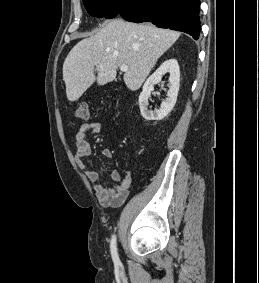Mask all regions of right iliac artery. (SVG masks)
Returning a JSON list of instances; mask_svg holds the SVG:
<instances>
[{
	"mask_svg": "<svg viewBox=\"0 0 259 283\" xmlns=\"http://www.w3.org/2000/svg\"><path fill=\"white\" fill-rule=\"evenodd\" d=\"M110 251H111L113 262L115 264H118L120 262V260H119V256H118V253H117L116 235H114L112 237V240H111V243H110Z\"/></svg>",
	"mask_w": 259,
	"mask_h": 283,
	"instance_id": "obj_1",
	"label": "right iliac artery"
}]
</instances>
